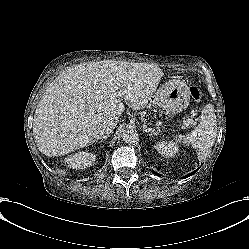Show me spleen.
Segmentation results:
<instances>
[{
	"instance_id": "1",
	"label": "spleen",
	"mask_w": 249,
	"mask_h": 249,
	"mask_svg": "<svg viewBox=\"0 0 249 249\" xmlns=\"http://www.w3.org/2000/svg\"><path fill=\"white\" fill-rule=\"evenodd\" d=\"M215 127L216 123L211 116L204 114L200 125L195 130L184 138H182L183 136H179L178 139L176 137V141L191 145L198 152V158L203 159L214 144Z\"/></svg>"
}]
</instances>
